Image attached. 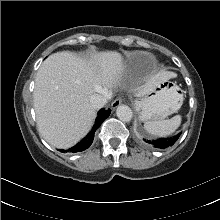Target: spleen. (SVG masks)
<instances>
[{
	"instance_id": "1",
	"label": "spleen",
	"mask_w": 220,
	"mask_h": 220,
	"mask_svg": "<svg viewBox=\"0 0 220 220\" xmlns=\"http://www.w3.org/2000/svg\"><path fill=\"white\" fill-rule=\"evenodd\" d=\"M182 117L176 115L171 119L159 120V121H147L144 124V128L152 135L159 137H166L174 133L181 124Z\"/></svg>"
}]
</instances>
